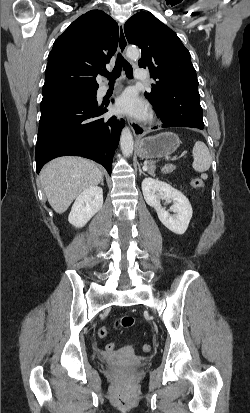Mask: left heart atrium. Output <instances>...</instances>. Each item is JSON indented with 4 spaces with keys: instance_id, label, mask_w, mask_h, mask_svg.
Returning <instances> with one entry per match:
<instances>
[{
    "instance_id": "left-heart-atrium-1",
    "label": "left heart atrium",
    "mask_w": 250,
    "mask_h": 413,
    "mask_svg": "<svg viewBox=\"0 0 250 413\" xmlns=\"http://www.w3.org/2000/svg\"><path fill=\"white\" fill-rule=\"evenodd\" d=\"M116 108L119 112L135 117H143L147 113L146 104L132 90H126L117 100Z\"/></svg>"
}]
</instances>
